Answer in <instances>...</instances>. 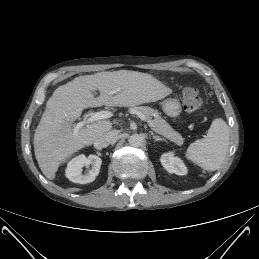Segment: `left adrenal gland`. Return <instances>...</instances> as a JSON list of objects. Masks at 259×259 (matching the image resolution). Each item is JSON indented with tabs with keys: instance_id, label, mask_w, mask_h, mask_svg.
<instances>
[{
	"instance_id": "a2214340",
	"label": "left adrenal gland",
	"mask_w": 259,
	"mask_h": 259,
	"mask_svg": "<svg viewBox=\"0 0 259 259\" xmlns=\"http://www.w3.org/2000/svg\"><path fill=\"white\" fill-rule=\"evenodd\" d=\"M152 137L154 139V142H156V141H166L164 138H161L160 136H156L154 134H152Z\"/></svg>"
}]
</instances>
